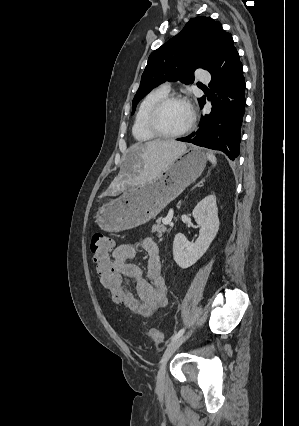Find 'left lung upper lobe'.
I'll list each match as a JSON object with an SVG mask.
<instances>
[{"label": "left lung upper lobe", "instance_id": "5c2ea615", "mask_svg": "<svg viewBox=\"0 0 299 426\" xmlns=\"http://www.w3.org/2000/svg\"><path fill=\"white\" fill-rule=\"evenodd\" d=\"M233 43L231 34L223 30L220 22L211 17L192 18L178 35L149 56L132 112L139 100L159 84L176 80L189 84L197 68L210 72L223 57L236 50Z\"/></svg>", "mask_w": 299, "mask_h": 426}]
</instances>
